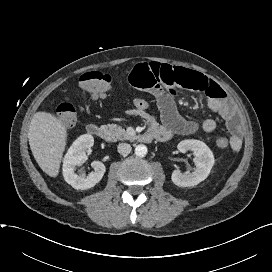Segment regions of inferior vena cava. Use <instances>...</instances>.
<instances>
[{"label": "inferior vena cava", "instance_id": "1", "mask_svg": "<svg viewBox=\"0 0 272 272\" xmlns=\"http://www.w3.org/2000/svg\"><path fill=\"white\" fill-rule=\"evenodd\" d=\"M131 149V145L128 143H120L117 147L118 152L124 156L128 155L131 152Z\"/></svg>", "mask_w": 272, "mask_h": 272}]
</instances>
